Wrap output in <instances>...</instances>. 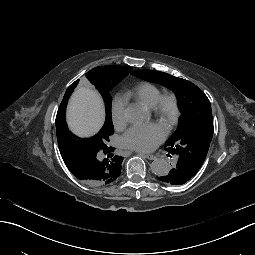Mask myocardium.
Listing matches in <instances>:
<instances>
[{
	"instance_id": "myocardium-1",
	"label": "myocardium",
	"mask_w": 255,
	"mask_h": 255,
	"mask_svg": "<svg viewBox=\"0 0 255 255\" xmlns=\"http://www.w3.org/2000/svg\"><path fill=\"white\" fill-rule=\"evenodd\" d=\"M155 123L164 126L165 134L170 135L173 131L178 116L177 98L172 93H162L152 108Z\"/></svg>"
}]
</instances>
